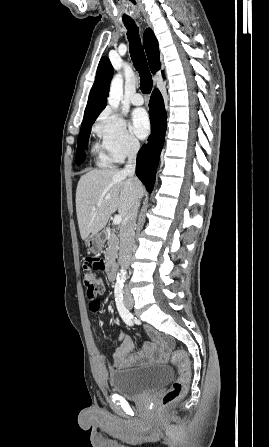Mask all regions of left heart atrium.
Returning a JSON list of instances; mask_svg holds the SVG:
<instances>
[{
	"label": "left heart atrium",
	"instance_id": "obj_1",
	"mask_svg": "<svg viewBox=\"0 0 269 447\" xmlns=\"http://www.w3.org/2000/svg\"><path fill=\"white\" fill-rule=\"evenodd\" d=\"M131 129L140 139H145L149 135L151 131V119L144 108H138L132 112Z\"/></svg>",
	"mask_w": 269,
	"mask_h": 447
}]
</instances>
